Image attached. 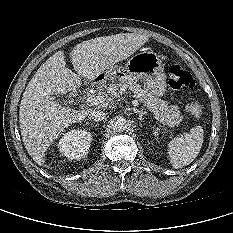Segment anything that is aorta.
<instances>
[{"label": "aorta", "mask_w": 233, "mask_h": 233, "mask_svg": "<svg viewBox=\"0 0 233 233\" xmlns=\"http://www.w3.org/2000/svg\"><path fill=\"white\" fill-rule=\"evenodd\" d=\"M111 128L114 131H124L127 128V121L123 116H115L110 120Z\"/></svg>", "instance_id": "obj_1"}]
</instances>
